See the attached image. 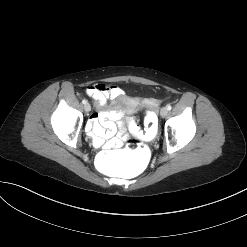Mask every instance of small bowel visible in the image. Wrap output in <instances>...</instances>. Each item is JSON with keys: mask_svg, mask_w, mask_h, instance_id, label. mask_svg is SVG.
I'll return each mask as SVG.
<instances>
[{"mask_svg": "<svg viewBox=\"0 0 247 247\" xmlns=\"http://www.w3.org/2000/svg\"><path fill=\"white\" fill-rule=\"evenodd\" d=\"M86 93L96 101L97 106L101 109L105 107L108 100H117L123 96V91L117 87H106L103 84L89 86ZM121 111L100 110L92 115L86 128L88 136L93 144L100 148H118L122 141L117 132L122 133V126H117L115 121L121 118Z\"/></svg>", "mask_w": 247, "mask_h": 247, "instance_id": "obj_1", "label": "small bowel"}]
</instances>
